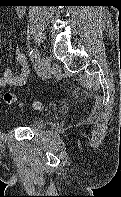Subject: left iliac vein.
I'll return each instance as SVG.
<instances>
[{
  "mask_svg": "<svg viewBox=\"0 0 121 197\" xmlns=\"http://www.w3.org/2000/svg\"><path fill=\"white\" fill-rule=\"evenodd\" d=\"M51 61V57L48 55H44L41 58L40 64L37 69V73L40 77H45L48 74L51 67Z\"/></svg>",
  "mask_w": 121,
  "mask_h": 197,
  "instance_id": "left-iliac-vein-1",
  "label": "left iliac vein"
}]
</instances>
